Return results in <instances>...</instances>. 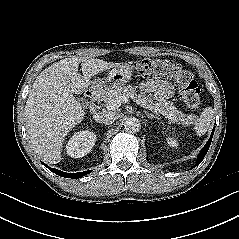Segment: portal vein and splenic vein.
Here are the masks:
<instances>
[{
  "instance_id": "portal-vein-and-splenic-vein-1",
  "label": "portal vein and splenic vein",
  "mask_w": 239,
  "mask_h": 239,
  "mask_svg": "<svg viewBox=\"0 0 239 239\" xmlns=\"http://www.w3.org/2000/svg\"><path fill=\"white\" fill-rule=\"evenodd\" d=\"M128 102V98L127 97H122V98H118L115 100H110L107 103V108L108 110H116L121 106V103H126ZM155 111H158L159 113H161L163 116H165L168 119H172V115L168 114L164 111H160L159 109H156Z\"/></svg>"
}]
</instances>
